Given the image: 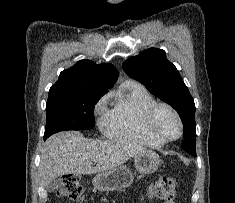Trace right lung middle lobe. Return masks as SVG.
Masks as SVG:
<instances>
[{"label":"right lung middle lobe","instance_id":"1","mask_svg":"<svg viewBox=\"0 0 235 203\" xmlns=\"http://www.w3.org/2000/svg\"><path fill=\"white\" fill-rule=\"evenodd\" d=\"M105 93L90 88L50 89L44 138L59 131L94 128V106Z\"/></svg>","mask_w":235,"mask_h":203}]
</instances>
